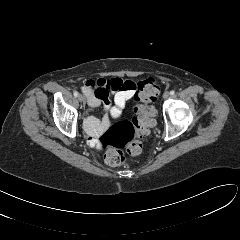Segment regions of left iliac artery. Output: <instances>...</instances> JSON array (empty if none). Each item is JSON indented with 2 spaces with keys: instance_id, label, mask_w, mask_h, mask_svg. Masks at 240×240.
Segmentation results:
<instances>
[{
  "instance_id": "left-iliac-artery-1",
  "label": "left iliac artery",
  "mask_w": 240,
  "mask_h": 240,
  "mask_svg": "<svg viewBox=\"0 0 240 240\" xmlns=\"http://www.w3.org/2000/svg\"><path fill=\"white\" fill-rule=\"evenodd\" d=\"M174 94H175L174 90L170 91V95H174Z\"/></svg>"
}]
</instances>
